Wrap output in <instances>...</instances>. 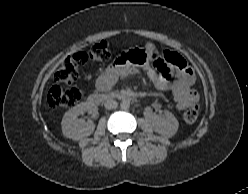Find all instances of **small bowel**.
<instances>
[{
    "mask_svg": "<svg viewBox=\"0 0 248 194\" xmlns=\"http://www.w3.org/2000/svg\"><path fill=\"white\" fill-rule=\"evenodd\" d=\"M154 53L159 55L161 64H157L152 57ZM140 71H144L158 89L173 93L178 110L198 103L199 95L192 87L195 78L192 68L179 54L171 51L160 54L151 43L145 45V50L135 61L121 57L109 66L97 79L96 88L107 91L118 79L131 77ZM154 106L158 108L159 104L155 103Z\"/></svg>",
    "mask_w": 248,
    "mask_h": 194,
    "instance_id": "obj_1",
    "label": "small bowel"
}]
</instances>
